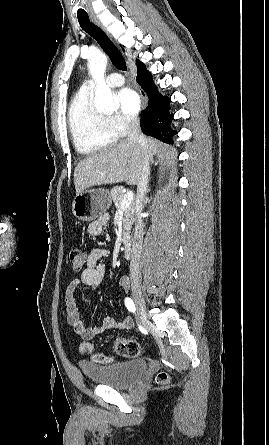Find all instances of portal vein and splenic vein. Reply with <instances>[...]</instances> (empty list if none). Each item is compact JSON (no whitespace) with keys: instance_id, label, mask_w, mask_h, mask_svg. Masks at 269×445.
Wrapping results in <instances>:
<instances>
[{"instance_id":"18ae733b","label":"portal vein and splenic vein","mask_w":269,"mask_h":445,"mask_svg":"<svg viewBox=\"0 0 269 445\" xmlns=\"http://www.w3.org/2000/svg\"><path fill=\"white\" fill-rule=\"evenodd\" d=\"M133 200H134V194H133V192H132V191H128V192L124 195V197H123V199H122V201H121V203H120V208H121V209H125V208H127V207L133 202Z\"/></svg>"}]
</instances>
